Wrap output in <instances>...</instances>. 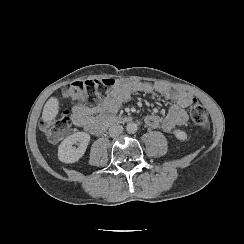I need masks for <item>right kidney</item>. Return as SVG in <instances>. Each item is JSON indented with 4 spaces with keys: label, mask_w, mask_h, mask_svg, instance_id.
<instances>
[{
    "label": "right kidney",
    "mask_w": 244,
    "mask_h": 244,
    "mask_svg": "<svg viewBox=\"0 0 244 244\" xmlns=\"http://www.w3.org/2000/svg\"><path fill=\"white\" fill-rule=\"evenodd\" d=\"M91 136L87 132H76L66 137L58 147V160L65 164L78 162L86 152ZM79 143L77 149L73 145Z\"/></svg>",
    "instance_id": "right-kidney-1"
}]
</instances>
